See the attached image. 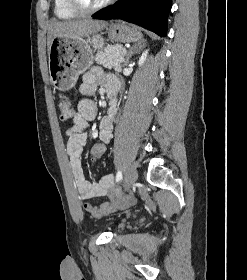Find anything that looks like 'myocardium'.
<instances>
[{
	"instance_id": "f54148a6",
	"label": "myocardium",
	"mask_w": 247,
	"mask_h": 280,
	"mask_svg": "<svg viewBox=\"0 0 247 280\" xmlns=\"http://www.w3.org/2000/svg\"><path fill=\"white\" fill-rule=\"evenodd\" d=\"M113 1L114 0H105L93 7L84 5L80 0H68V3L70 8L78 14H92L109 6Z\"/></svg>"
}]
</instances>
